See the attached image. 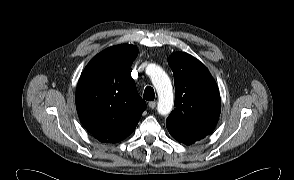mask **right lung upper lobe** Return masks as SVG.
Instances as JSON below:
<instances>
[{
  "label": "right lung upper lobe",
  "mask_w": 294,
  "mask_h": 180,
  "mask_svg": "<svg viewBox=\"0 0 294 180\" xmlns=\"http://www.w3.org/2000/svg\"><path fill=\"white\" fill-rule=\"evenodd\" d=\"M134 45L109 47L85 67L76 90V108L84 127L104 143H116L135 129L146 108L130 68Z\"/></svg>",
  "instance_id": "cb5924a9"
}]
</instances>
